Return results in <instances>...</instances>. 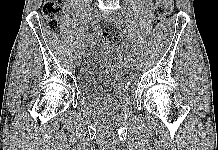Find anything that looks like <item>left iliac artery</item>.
I'll return each mask as SVG.
<instances>
[{"label": "left iliac artery", "instance_id": "44dca946", "mask_svg": "<svg viewBox=\"0 0 218 150\" xmlns=\"http://www.w3.org/2000/svg\"><path fill=\"white\" fill-rule=\"evenodd\" d=\"M121 26L119 27L121 30H122V32H124V33H126L127 35L130 33L129 31H128V29H127V27H124L126 24L124 23L125 21L122 19L121 21ZM133 51V49L130 51V52H132ZM130 58L128 59V61H126L128 64L130 63V64H133L134 62H133V54L132 53H130L129 55H128Z\"/></svg>", "mask_w": 218, "mask_h": 150}]
</instances>
